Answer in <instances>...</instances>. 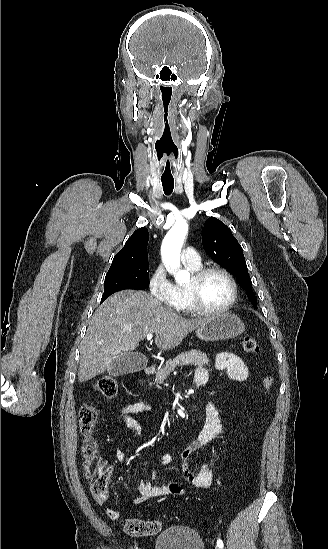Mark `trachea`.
<instances>
[{"label": "trachea", "instance_id": "obj_1", "mask_svg": "<svg viewBox=\"0 0 328 549\" xmlns=\"http://www.w3.org/2000/svg\"><path fill=\"white\" fill-rule=\"evenodd\" d=\"M165 195H170L174 188V180H162Z\"/></svg>", "mask_w": 328, "mask_h": 549}]
</instances>
